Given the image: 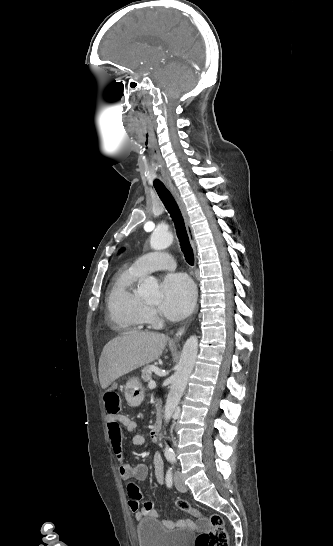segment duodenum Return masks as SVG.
Here are the masks:
<instances>
[{
	"instance_id": "410a0bca",
	"label": "duodenum",
	"mask_w": 333,
	"mask_h": 546,
	"mask_svg": "<svg viewBox=\"0 0 333 546\" xmlns=\"http://www.w3.org/2000/svg\"><path fill=\"white\" fill-rule=\"evenodd\" d=\"M160 431H161V421L160 419H157L155 424L153 425L152 431H151V438L153 441H158L160 438Z\"/></svg>"
}]
</instances>
